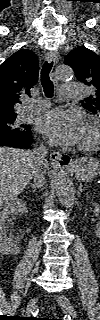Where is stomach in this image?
I'll use <instances>...</instances> for the list:
<instances>
[{
  "mask_svg": "<svg viewBox=\"0 0 100 320\" xmlns=\"http://www.w3.org/2000/svg\"><path fill=\"white\" fill-rule=\"evenodd\" d=\"M75 177L82 181H91L100 173V161L96 158L85 156L71 165Z\"/></svg>",
  "mask_w": 100,
  "mask_h": 320,
  "instance_id": "1",
  "label": "stomach"
}]
</instances>
